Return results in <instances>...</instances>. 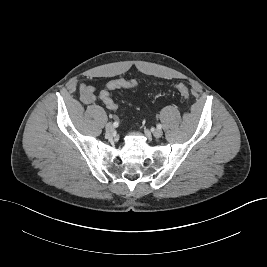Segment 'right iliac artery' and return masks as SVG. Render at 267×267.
<instances>
[{
  "label": "right iliac artery",
  "instance_id": "obj_1",
  "mask_svg": "<svg viewBox=\"0 0 267 267\" xmlns=\"http://www.w3.org/2000/svg\"><path fill=\"white\" fill-rule=\"evenodd\" d=\"M118 125H119L118 121H115V122L113 123V126H114V127H118Z\"/></svg>",
  "mask_w": 267,
  "mask_h": 267
}]
</instances>
